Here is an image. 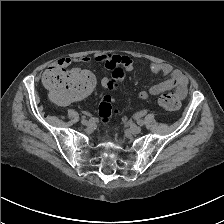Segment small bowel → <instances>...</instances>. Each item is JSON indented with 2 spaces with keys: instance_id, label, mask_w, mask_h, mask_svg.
<instances>
[{
  "instance_id": "c3829d8e",
  "label": "small bowel",
  "mask_w": 224,
  "mask_h": 224,
  "mask_svg": "<svg viewBox=\"0 0 224 224\" xmlns=\"http://www.w3.org/2000/svg\"><path fill=\"white\" fill-rule=\"evenodd\" d=\"M94 60L96 62L103 63L106 68L114 69L116 67H121L124 70L131 72L134 70L135 63L132 58L126 55L118 54H105L95 56ZM73 61L80 63H87L91 61L88 56H82L75 58ZM72 62L69 58L59 59L56 66L64 67ZM50 67L46 71V75L53 69ZM150 70L153 73H160L163 76H168L167 79L153 85L146 91L139 93V98L142 100L148 99L150 96H155L168 90L174 89L179 98H184L187 95L188 80L184 74L176 69H173L170 65L164 63H152L150 65Z\"/></svg>"
}]
</instances>
